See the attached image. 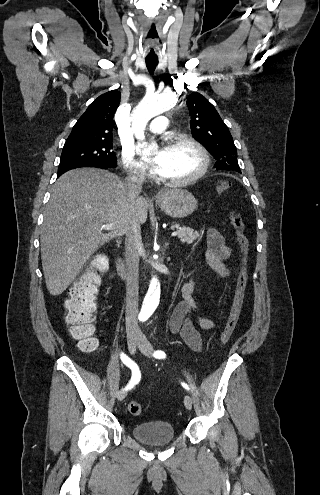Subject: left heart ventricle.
<instances>
[{
	"label": "left heart ventricle",
	"instance_id": "b2bd125f",
	"mask_svg": "<svg viewBox=\"0 0 320 495\" xmlns=\"http://www.w3.org/2000/svg\"><path fill=\"white\" fill-rule=\"evenodd\" d=\"M166 166L163 176L172 180H181L194 174L200 167L198 153L188 145L165 148Z\"/></svg>",
	"mask_w": 320,
	"mask_h": 495
}]
</instances>
